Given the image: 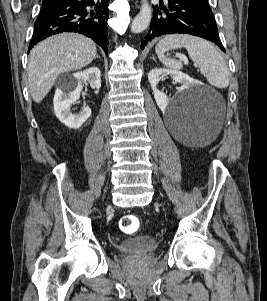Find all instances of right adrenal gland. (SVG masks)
<instances>
[{
  "instance_id": "right-adrenal-gland-1",
  "label": "right adrenal gland",
  "mask_w": 267,
  "mask_h": 301,
  "mask_svg": "<svg viewBox=\"0 0 267 301\" xmlns=\"http://www.w3.org/2000/svg\"><path fill=\"white\" fill-rule=\"evenodd\" d=\"M96 58L100 59V56H99V55H97V56H96Z\"/></svg>"
}]
</instances>
